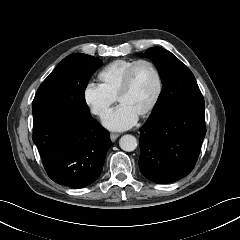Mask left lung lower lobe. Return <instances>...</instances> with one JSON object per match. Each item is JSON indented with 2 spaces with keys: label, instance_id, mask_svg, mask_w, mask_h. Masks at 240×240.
<instances>
[{
  "label": "left lung lower lobe",
  "instance_id": "left-lung-lower-lobe-1",
  "mask_svg": "<svg viewBox=\"0 0 240 240\" xmlns=\"http://www.w3.org/2000/svg\"><path fill=\"white\" fill-rule=\"evenodd\" d=\"M204 108L179 106L140 129L141 173L157 184L187 176L194 168L206 134Z\"/></svg>",
  "mask_w": 240,
  "mask_h": 240
}]
</instances>
